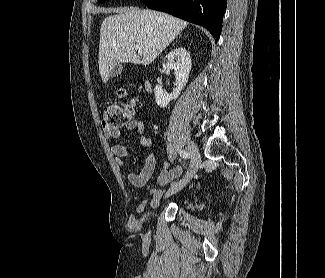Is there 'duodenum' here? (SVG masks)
Segmentation results:
<instances>
[{
    "label": "duodenum",
    "instance_id": "410a0bca",
    "mask_svg": "<svg viewBox=\"0 0 325 278\" xmlns=\"http://www.w3.org/2000/svg\"><path fill=\"white\" fill-rule=\"evenodd\" d=\"M146 89H147V90H150V89H151V85H150L149 82L146 83Z\"/></svg>",
    "mask_w": 325,
    "mask_h": 278
}]
</instances>
